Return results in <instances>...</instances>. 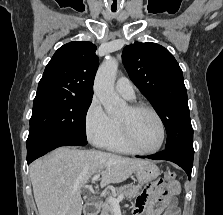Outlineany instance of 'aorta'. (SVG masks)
<instances>
[{"label": "aorta", "mask_w": 223, "mask_h": 215, "mask_svg": "<svg viewBox=\"0 0 223 215\" xmlns=\"http://www.w3.org/2000/svg\"><path fill=\"white\" fill-rule=\"evenodd\" d=\"M118 70V62L110 56H106L101 66H99L94 80V92L103 104L106 113L109 115H119L125 108L126 102L120 100L119 96L114 92V82Z\"/></svg>", "instance_id": "obj_1"}]
</instances>
